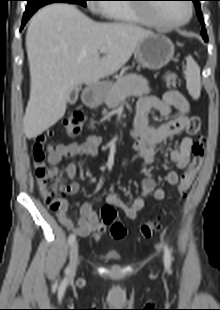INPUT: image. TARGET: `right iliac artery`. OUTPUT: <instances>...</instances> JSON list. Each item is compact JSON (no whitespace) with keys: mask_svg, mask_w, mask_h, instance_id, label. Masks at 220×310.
I'll return each mask as SVG.
<instances>
[{"mask_svg":"<svg viewBox=\"0 0 220 310\" xmlns=\"http://www.w3.org/2000/svg\"><path fill=\"white\" fill-rule=\"evenodd\" d=\"M75 235L74 234H70L69 238H68V242H69V245L72 246L73 243L75 242Z\"/></svg>","mask_w":220,"mask_h":310,"instance_id":"obj_1","label":"right iliac artery"}]
</instances>
